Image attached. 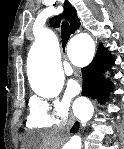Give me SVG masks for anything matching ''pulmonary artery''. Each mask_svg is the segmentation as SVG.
I'll return each mask as SVG.
<instances>
[{
  "label": "pulmonary artery",
  "instance_id": "pulmonary-artery-1",
  "mask_svg": "<svg viewBox=\"0 0 124 149\" xmlns=\"http://www.w3.org/2000/svg\"><path fill=\"white\" fill-rule=\"evenodd\" d=\"M72 71H73V69H72L71 64H70V63H67V64L65 65V73L69 75V74L72 73Z\"/></svg>",
  "mask_w": 124,
  "mask_h": 149
}]
</instances>
